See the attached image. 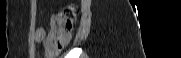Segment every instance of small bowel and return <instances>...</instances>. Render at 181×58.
<instances>
[{
  "label": "small bowel",
  "instance_id": "small-bowel-1",
  "mask_svg": "<svg viewBox=\"0 0 181 58\" xmlns=\"http://www.w3.org/2000/svg\"><path fill=\"white\" fill-rule=\"evenodd\" d=\"M45 37H46L45 29L42 26H39L36 30V35H35L36 41L37 42L43 41Z\"/></svg>",
  "mask_w": 181,
  "mask_h": 58
}]
</instances>
